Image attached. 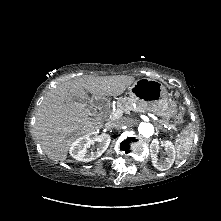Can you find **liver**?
I'll return each mask as SVG.
<instances>
[{
	"mask_svg": "<svg viewBox=\"0 0 221 221\" xmlns=\"http://www.w3.org/2000/svg\"><path fill=\"white\" fill-rule=\"evenodd\" d=\"M135 82L133 76H86L69 80L49 91L39 106L34 135L46 155L55 161H64L71 143L103 128L99 118L88 117L87 101L90 92L95 99L121 95ZM72 97L84 102H77Z\"/></svg>",
	"mask_w": 221,
	"mask_h": 221,
	"instance_id": "obj_1",
	"label": "liver"
}]
</instances>
